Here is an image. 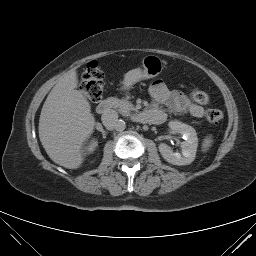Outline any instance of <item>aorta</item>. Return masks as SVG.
<instances>
[{"instance_id": "1", "label": "aorta", "mask_w": 256, "mask_h": 256, "mask_svg": "<svg viewBox=\"0 0 256 256\" xmlns=\"http://www.w3.org/2000/svg\"><path fill=\"white\" fill-rule=\"evenodd\" d=\"M125 128H126V123H125V121H124V120H119V122H118V124H117L116 130H117V131H123V130H125Z\"/></svg>"}]
</instances>
